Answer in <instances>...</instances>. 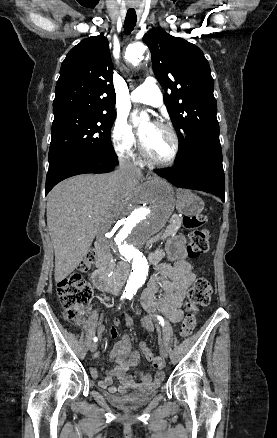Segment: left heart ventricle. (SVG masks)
<instances>
[{
    "label": "left heart ventricle",
    "instance_id": "b2bd125f",
    "mask_svg": "<svg viewBox=\"0 0 277 438\" xmlns=\"http://www.w3.org/2000/svg\"><path fill=\"white\" fill-rule=\"evenodd\" d=\"M139 134L154 158L161 161L170 159L174 144L172 138L165 131L148 122L139 130Z\"/></svg>",
    "mask_w": 277,
    "mask_h": 438
}]
</instances>
